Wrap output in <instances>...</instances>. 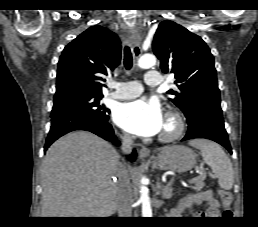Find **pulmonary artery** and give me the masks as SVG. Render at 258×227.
Listing matches in <instances>:
<instances>
[{
	"mask_svg": "<svg viewBox=\"0 0 258 227\" xmlns=\"http://www.w3.org/2000/svg\"><path fill=\"white\" fill-rule=\"evenodd\" d=\"M145 82L150 86H159L161 77L158 71H148L145 75ZM115 91L109 96L117 100H127L139 96L143 92V87L138 81L119 82L113 85Z\"/></svg>",
	"mask_w": 258,
	"mask_h": 227,
	"instance_id": "obj_1",
	"label": "pulmonary artery"
}]
</instances>
